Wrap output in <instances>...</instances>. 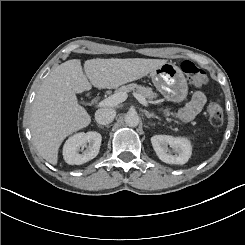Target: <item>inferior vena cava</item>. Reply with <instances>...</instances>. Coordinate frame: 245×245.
Wrapping results in <instances>:
<instances>
[{"label": "inferior vena cava", "mask_w": 245, "mask_h": 245, "mask_svg": "<svg viewBox=\"0 0 245 245\" xmlns=\"http://www.w3.org/2000/svg\"><path fill=\"white\" fill-rule=\"evenodd\" d=\"M116 112L111 108H101L95 113V120L98 124L106 125L111 123L115 118Z\"/></svg>", "instance_id": "obj_1"}]
</instances>
